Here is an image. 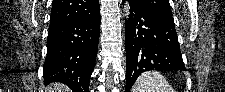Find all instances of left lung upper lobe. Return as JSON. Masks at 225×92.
Returning <instances> with one entry per match:
<instances>
[{
	"instance_id": "5c2ea615",
	"label": "left lung upper lobe",
	"mask_w": 225,
	"mask_h": 92,
	"mask_svg": "<svg viewBox=\"0 0 225 92\" xmlns=\"http://www.w3.org/2000/svg\"><path fill=\"white\" fill-rule=\"evenodd\" d=\"M129 2L156 13L172 16L171 7L168 0H129Z\"/></svg>"
}]
</instances>
